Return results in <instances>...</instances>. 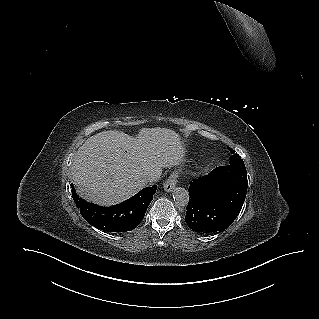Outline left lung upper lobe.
Returning <instances> with one entry per match:
<instances>
[{
	"label": "left lung upper lobe",
	"mask_w": 319,
	"mask_h": 319,
	"mask_svg": "<svg viewBox=\"0 0 319 319\" xmlns=\"http://www.w3.org/2000/svg\"><path fill=\"white\" fill-rule=\"evenodd\" d=\"M228 150L232 153V156L229 158V165L234 166H245L243 160L238 154H235V151L228 147Z\"/></svg>",
	"instance_id": "1"
}]
</instances>
